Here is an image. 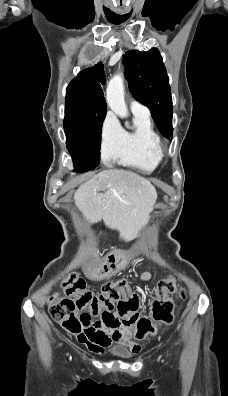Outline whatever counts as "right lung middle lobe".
I'll return each instance as SVG.
<instances>
[{
    "instance_id": "dd1d6c3e",
    "label": "right lung middle lobe",
    "mask_w": 228,
    "mask_h": 396,
    "mask_svg": "<svg viewBox=\"0 0 228 396\" xmlns=\"http://www.w3.org/2000/svg\"><path fill=\"white\" fill-rule=\"evenodd\" d=\"M106 111L87 113L65 105L64 130L67 149L77 172L94 169L100 162L101 128Z\"/></svg>"
}]
</instances>
